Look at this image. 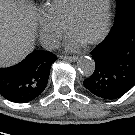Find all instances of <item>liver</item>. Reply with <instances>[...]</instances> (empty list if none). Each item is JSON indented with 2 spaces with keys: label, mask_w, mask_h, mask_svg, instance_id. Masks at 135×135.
Masks as SVG:
<instances>
[{
  "label": "liver",
  "mask_w": 135,
  "mask_h": 135,
  "mask_svg": "<svg viewBox=\"0 0 135 135\" xmlns=\"http://www.w3.org/2000/svg\"><path fill=\"white\" fill-rule=\"evenodd\" d=\"M36 16L25 0H0V67L19 62L34 48Z\"/></svg>",
  "instance_id": "1"
}]
</instances>
